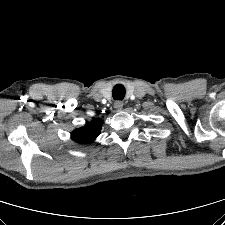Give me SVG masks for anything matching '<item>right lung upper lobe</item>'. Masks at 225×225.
Returning <instances> with one entry per match:
<instances>
[{"label":"right lung upper lobe","mask_w":225,"mask_h":225,"mask_svg":"<svg viewBox=\"0 0 225 225\" xmlns=\"http://www.w3.org/2000/svg\"><path fill=\"white\" fill-rule=\"evenodd\" d=\"M102 121L93 120L84 127L74 130L71 137L74 141L82 144L91 143L98 136L101 130Z\"/></svg>","instance_id":"cb5924a9"}]
</instances>
